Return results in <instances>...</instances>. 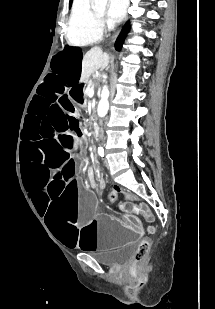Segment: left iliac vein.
<instances>
[{"mask_svg": "<svg viewBox=\"0 0 215 309\" xmlns=\"http://www.w3.org/2000/svg\"><path fill=\"white\" fill-rule=\"evenodd\" d=\"M105 163H106V166H107V167H109V164H108V161H107V160H106V162H105Z\"/></svg>", "mask_w": 215, "mask_h": 309, "instance_id": "4c4485c4", "label": "left iliac vein"}]
</instances>
